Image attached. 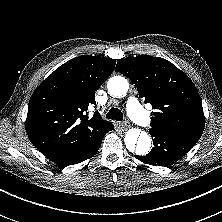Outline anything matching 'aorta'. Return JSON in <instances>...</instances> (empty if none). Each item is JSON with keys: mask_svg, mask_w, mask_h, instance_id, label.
I'll return each mask as SVG.
<instances>
[{"mask_svg": "<svg viewBox=\"0 0 222 222\" xmlns=\"http://www.w3.org/2000/svg\"><path fill=\"white\" fill-rule=\"evenodd\" d=\"M108 92L113 97H124L129 89L128 81L121 76H114L108 80ZM127 149L137 155H146L151 147V138L146 132L132 129L125 136Z\"/></svg>", "mask_w": 222, "mask_h": 222, "instance_id": "aorta-1", "label": "aorta"}]
</instances>
